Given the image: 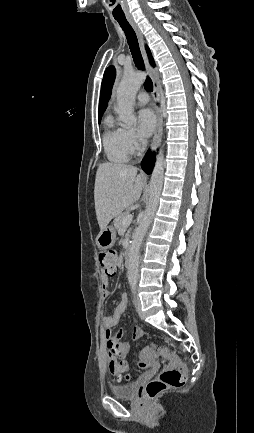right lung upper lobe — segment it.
<instances>
[{"label":"right lung upper lobe","mask_w":254,"mask_h":433,"mask_svg":"<svg viewBox=\"0 0 254 433\" xmlns=\"http://www.w3.org/2000/svg\"><path fill=\"white\" fill-rule=\"evenodd\" d=\"M146 50L150 59V63L154 66V61L152 59L148 47H146ZM114 78H115V68L113 66H110L106 69L104 73L103 81L101 85V95H100L99 111H98L99 120H101V117L107 107V103L111 95V89L114 82Z\"/></svg>","instance_id":"1"}]
</instances>
